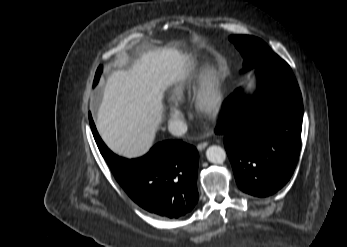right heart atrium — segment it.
<instances>
[{
  "mask_svg": "<svg viewBox=\"0 0 347 247\" xmlns=\"http://www.w3.org/2000/svg\"><path fill=\"white\" fill-rule=\"evenodd\" d=\"M168 116L172 121H179L183 118V112L176 104H172L168 108Z\"/></svg>",
  "mask_w": 347,
  "mask_h": 247,
  "instance_id": "1",
  "label": "right heart atrium"
}]
</instances>
